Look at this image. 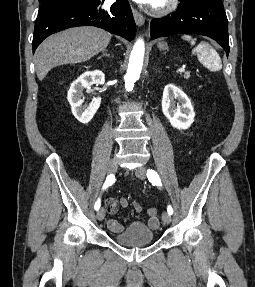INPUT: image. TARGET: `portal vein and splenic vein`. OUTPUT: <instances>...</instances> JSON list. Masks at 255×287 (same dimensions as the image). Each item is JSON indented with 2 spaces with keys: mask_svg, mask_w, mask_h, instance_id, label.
<instances>
[{
  "mask_svg": "<svg viewBox=\"0 0 255 287\" xmlns=\"http://www.w3.org/2000/svg\"><path fill=\"white\" fill-rule=\"evenodd\" d=\"M178 72H185V66H182V68H180V70H178Z\"/></svg>",
  "mask_w": 255,
  "mask_h": 287,
  "instance_id": "obj_1",
  "label": "portal vein and splenic vein"
}]
</instances>
